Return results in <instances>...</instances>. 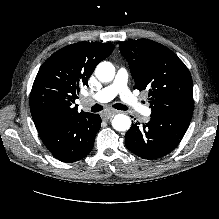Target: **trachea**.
<instances>
[{
	"label": "trachea",
	"mask_w": 219,
	"mask_h": 219,
	"mask_svg": "<svg viewBox=\"0 0 219 219\" xmlns=\"http://www.w3.org/2000/svg\"><path fill=\"white\" fill-rule=\"evenodd\" d=\"M113 107L119 109V110H128V107L126 105H123V104H115ZM102 109V107L98 104L94 105L92 108H91V112H98Z\"/></svg>",
	"instance_id": "1"
}]
</instances>
